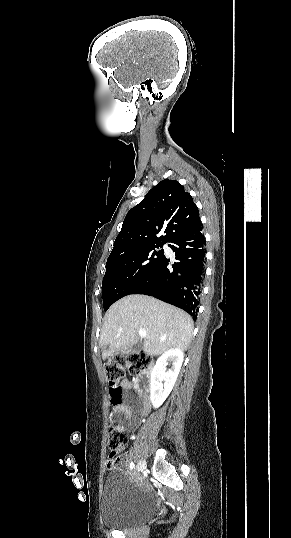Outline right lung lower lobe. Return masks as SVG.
<instances>
[{"mask_svg": "<svg viewBox=\"0 0 291 538\" xmlns=\"http://www.w3.org/2000/svg\"><path fill=\"white\" fill-rule=\"evenodd\" d=\"M168 245L175 252L177 262L172 268L165 255L145 280L131 294H145L177 306L194 319L205 276V239L202 225L175 237Z\"/></svg>", "mask_w": 291, "mask_h": 538, "instance_id": "98d812e1", "label": "right lung lower lobe"}]
</instances>
